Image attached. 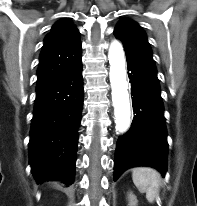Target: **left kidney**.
Returning a JSON list of instances; mask_svg holds the SVG:
<instances>
[{"mask_svg":"<svg viewBox=\"0 0 197 206\" xmlns=\"http://www.w3.org/2000/svg\"><path fill=\"white\" fill-rule=\"evenodd\" d=\"M129 199H130V206H135L137 201H136V197L132 193L129 194Z\"/></svg>","mask_w":197,"mask_h":206,"instance_id":"5707ae66","label":"left kidney"}]
</instances>
